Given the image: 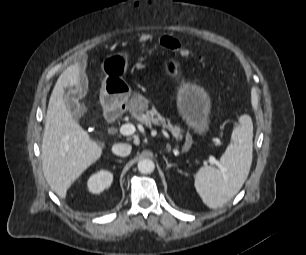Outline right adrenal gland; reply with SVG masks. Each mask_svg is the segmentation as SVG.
<instances>
[{
  "mask_svg": "<svg viewBox=\"0 0 306 255\" xmlns=\"http://www.w3.org/2000/svg\"><path fill=\"white\" fill-rule=\"evenodd\" d=\"M116 161L119 162V163L121 162L120 160H116Z\"/></svg>",
  "mask_w": 306,
  "mask_h": 255,
  "instance_id": "2a0ac1e0",
  "label": "right adrenal gland"
}]
</instances>
